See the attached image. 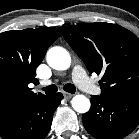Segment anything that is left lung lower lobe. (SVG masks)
Listing matches in <instances>:
<instances>
[{"label": "left lung lower lobe", "instance_id": "left-lung-lower-lobe-1", "mask_svg": "<svg viewBox=\"0 0 139 139\" xmlns=\"http://www.w3.org/2000/svg\"><path fill=\"white\" fill-rule=\"evenodd\" d=\"M82 121L89 134L97 139H121L139 124V92L113 99L91 96V108Z\"/></svg>", "mask_w": 139, "mask_h": 139}]
</instances>
